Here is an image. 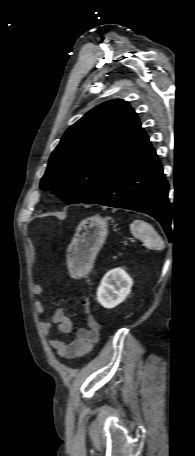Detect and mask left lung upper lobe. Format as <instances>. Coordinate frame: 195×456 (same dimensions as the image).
I'll return each instance as SVG.
<instances>
[{
	"label": "left lung upper lobe",
	"instance_id": "left-lung-upper-lobe-1",
	"mask_svg": "<svg viewBox=\"0 0 195 456\" xmlns=\"http://www.w3.org/2000/svg\"><path fill=\"white\" fill-rule=\"evenodd\" d=\"M123 100L95 107L72 125L53 151L40 187L67 203H84L103 185L140 131Z\"/></svg>",
	"mask_w": 195,
	"mask_h": 456
}]
</instances>
